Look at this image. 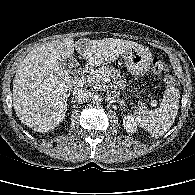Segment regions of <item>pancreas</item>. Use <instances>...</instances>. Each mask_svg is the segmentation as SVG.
<instances>
[{"mask_svg":"<svg viewBox=\"0 0 195 195\" xmlns=\"http://www.w3.org/2000/svg\"><path fill=\"white\" fill-rule=\"evenodd\" d=\"M105 76H110L111 78L116 80L117 84L121 88H123L124 81L123 79H121L120 72L118 70H115V68L113 67L107 66L92 70L88 74H85L84 76H82V82L92 89H101L102 81ZM141 107L142 103H140L137 108Z\"/></svg>","mask_w":195,"mask_h":195,"instance_id":"obj_1","label":"pancreas"}]
</instances>
